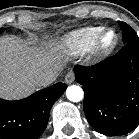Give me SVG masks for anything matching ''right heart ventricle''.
<instances>
[{
	"mask_svg": "<svg viewBox=\"0 0 139 139\" xmlns=\"http://www.w3.org/2000/svg\"><path fill=\"white\" fill-rule=\"evenodd\" d=\"M104 28L89 26L74 30L62 39V46L73 55H83L89 52L97 35Z\"/></svg>",
	"mask_w": 139,
	"mask_h": 139,
	"instance_id": "obj_1",
	"label": "right heart ventricle"
}]
</instances>
